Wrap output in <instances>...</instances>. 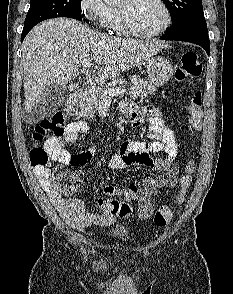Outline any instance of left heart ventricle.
Here are the masks:
<instances>
[{"label":"left heart ventricle","instance_id":"left-heart-ventricle-1","mask_svg":"<svg viewBox=\"0 0 233 294\" xmlns=\"http://www.w3.org/2000/svg\"><path fill=\"white\" fill-rule=\"evenodd\" d=\"M129 13L135 29L141 32H153L165 22V13L156 0H124L121 7Z\"/></svg>","mask_w":233,"mask_h":294}]
</instances>
